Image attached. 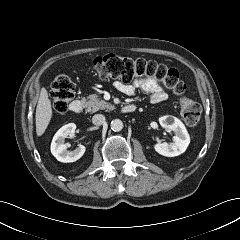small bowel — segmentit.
<instances>
[{"instance_id": "obj_1", "label": "small bowel", "mask_w": 240, "mask_h": 240, "mask_svg": "<svg viewBox=\"0 0 240 240\" xmlns=\"http://www.w3.org/2000/svg\"><path fill=\"white\" fill-rule=\"evenodd\" d=\"M114 87L119 92L132 96L136 91L140 90L149 95L150 102L158 104L167 99V94L159 84V82L152 78H143L135 80L130 84H125L120 81L114 82Z\"/></svg>"}]
</instances>
